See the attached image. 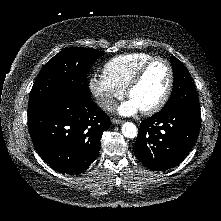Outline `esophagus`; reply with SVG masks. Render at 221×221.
Segmentation results:
<instances>
[{"instance_id": "esophagus-1", "label": "esophagus", "mask_w": 221, "mask_h": 221, "mask_svg": "<svg viewBox=\"0 0 221 221\" xmlns=\"http://www.w3.org/2000/svg\"><path fill=\"white\" fill-rule=\"evenodd\" d=\"M112 123L113 124H121V123H123V120H120V119H112Z\"/></svg>"}]
</instances>
